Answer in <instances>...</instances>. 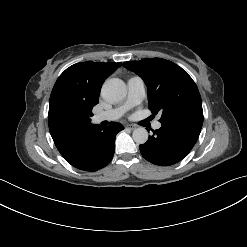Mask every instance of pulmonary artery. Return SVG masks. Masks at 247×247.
Listing matches in <instances>:
<instances>
[{
	"mask_svg": "<svg viewBox=\"0 0 247 247\" xmlns=\"http://www.w3.org/2000/svg\"><path fill=\"white\" fill-rule=\"evenodd\" d=\"M128 95L125 102L111 110L103 111L97 113L94 116L95 122H101L104 120H116L120 118L129 108L138 105L145 97V83L142 78L138 76H133L128 79ZM161 127L160 122L154 124L155 129Z\"/></svg>",
	"mask_w": 247,
	"mask_h": 247,
	"instance_id": "obj_1",
	"label": "pulmonary artery"
}]
</instances>
